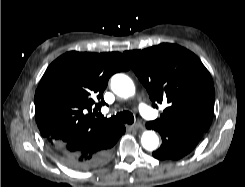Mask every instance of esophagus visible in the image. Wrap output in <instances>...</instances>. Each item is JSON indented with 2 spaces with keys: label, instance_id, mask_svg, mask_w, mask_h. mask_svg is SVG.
Returning a JSON list of instances; mask_svg holds the SVG:
<instances>
[{
  "label": "esophagus",
  "instance_id": "esophagus-1",
  "mask_svg": "<svg viewBox=\"0 0 245 187\" xmlns=\"http://www.w3.org/2000/svg\"><path fill=\"white\" fill-rule=\"evenodd\" d=\"M128 128L130 130L137 131V130L143 129V125L140 123H137V124L128 126Z\"/></svg>",
  "mask_w": 245,
  "mask_h": 187
}]
</instances>
